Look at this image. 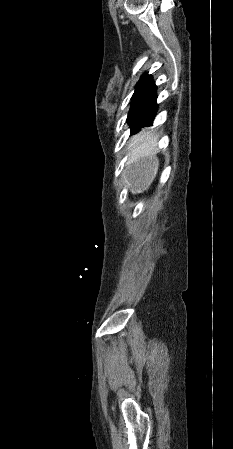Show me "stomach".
Returning a JSON list of instances; mask_svg holds the SVG:
<instances>
[{"mask_svg": "<svg viewBox=\"0 0 233 449\" xmlns=\"http://www.w3.org/2000/svg\"><path fill=\"white\" fill-rule=\"evenodd\" d=\"M157 167V161L154 159L144 160L137 171L134 173L133 177L137 184L132 189L133 193H139L146 189L153 179V174Z\"/></svg>", "mask_w": 233, "mask_h": 449, "instance_id": "stomach-1", "label": "stomach"}]
</instances>
